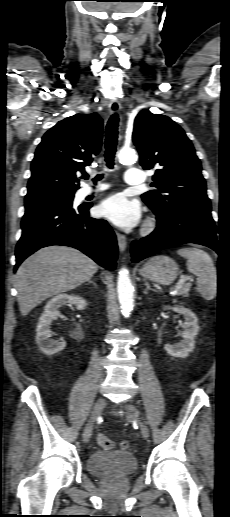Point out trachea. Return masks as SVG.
Masks as SVG:
<instances>
[{
    "label": "trachea",
    "mask_w": 230,
    "mask_h": 517,
    "mask_svg": "<svg viewBox=\"0 0 230 517\" xmlns=\"http://www.w3.org/2000/svg\"><path fill=\"white\" fill-rule=\"evenodd\" d=\"M118 123L119 117L117 114H112L108 120L106 131H105V161L108 168L112 169L114 166V157L116 153V145L118 138ZM84 179H88V174L84 173L82 176ZM103 175H97L93 181L96 183L101 180Z\"/></svg>",
    "instance_id": "trachea-1"
}]
</instances>
